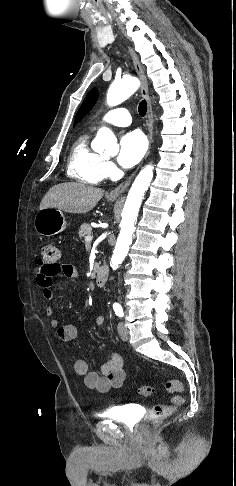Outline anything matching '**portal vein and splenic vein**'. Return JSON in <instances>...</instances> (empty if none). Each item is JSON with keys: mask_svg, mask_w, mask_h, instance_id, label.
Masks as SVG:
<instances>
[{"mask_svg": "<svg viewBox=\"0 0 236 486\" xmlns=\"http://www.w3.org/2000/svg\"><path fill=\"white\" fill-rule=\"evenodd\" d=\"M92 239H93V238H92V236H91V235H87V236H85V242H87V243L92 242Z\"/></svg>", "mask_w": 236, "mask_h": 486, "instance_id": "portal-vein-and-splenic-vein-1", "label": "portal vein and splenic vein"}]
</instances>
